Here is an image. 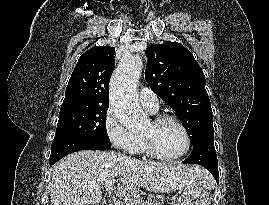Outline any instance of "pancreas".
<instances>
[{
  "label": "pancreas",
  "mask_w": 269,
  "mask_h": 205,
  "mask_svg": "<svg viewBox=\"0 0 269 205\" xmlns=\"http://www.w3.org/2000/svg\"><path fill=\"white\" fill-rule=\"evenodd\" d=\"M127 203L128 205H146L141 197L139 190L136 189L130 191L129 196L127 197ZM116 205H125V204L117 203Z\"/></svg>",
  "instance_id": "cf45deb5"
}]
</instances>
